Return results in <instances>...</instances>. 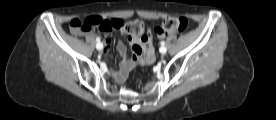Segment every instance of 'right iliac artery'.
I'll use <instances>...</instances> for the list:
<instances>
[{
    "label": "right iliac artery",
    "mask_w": 276,
    "mask_h": 120,
    "mask_svg": "<svg viewBox=\"0 0 276 120\" xmlns=\"http://www.w3.org/2000/svg\"><path fill=\"white\" fill-rule=\"evenodd\" d=\"M96 41H97L98 43H100V38H99V37H97V38H96Z\"/></svg>",
    "instance_id": "right-iliac-artery-1"
}]
</instances>
